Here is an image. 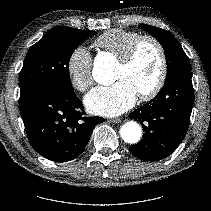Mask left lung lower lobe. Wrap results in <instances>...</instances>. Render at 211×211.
I'll return each mask as SVG.
<instances>
[{
    "instance_id": "obj_1",
    "label": "left lung lower lobe",
    "mask_w": 211,
    "mask_h": 211,
    "mask_svg": "<svg viewBox=\"0 0 211 211\" xmlns=\"http://www.w3.org/2000/svg\"><path fill=\"white\" fill-rule=\"evenodd\" d=\"M194 102L191 69L166 78L161 91L148 103L129 114L143 127V139L130 152L144 161L169 156L186 136Z\"/></svg>"
}]
</instances>
